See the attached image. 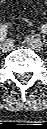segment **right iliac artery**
Wrapping results in <instances>:
<instances>
[{
  "label": "right iliac artery",
  "mask_w": 47,
  "mask_h": 129,
  "mask_svg": "<svg viewBox=\"0 0 47 129\" xmlns=\"http://www.w3.org/2000/svg\"><path fill=\"white\" fill-rule=\"evenodd\" d=\"M7 29H8L7 25H2L1 26V28H0V40H4L6 38Z\"/></svg>",
  "instance_id": "82829eb1"
}]
</instances>
